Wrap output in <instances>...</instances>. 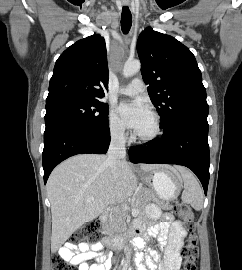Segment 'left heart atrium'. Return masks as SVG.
<instances>
[{
  "label": "left heart atrium",
  "instance_id": "1",
  "mask_svg": "<svg viewBox=\"0 0 242 270\" xmlns=\"http://www.w3.org/2000/svg\"><path fill=\"white\" fill-rule=\"evenodd\" d=\"M118 113L124 123L135 132H138L150 119L151 109L142 99L122 102L118 106Z\"/></svg>",
  "mask_w": 242,
  "mask_h": 270
}]
</instances>
